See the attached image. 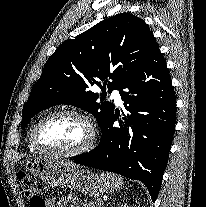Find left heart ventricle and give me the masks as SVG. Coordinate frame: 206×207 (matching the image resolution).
<instances>
[{"mask_svg": "<svg viewBox=\"0 0 206 207\" xmlns=\"http://www.w3.org/2000/svg\"><path fill=\"white\" fill-rule=\"evenodd\" d=\"M40 142L50 148L71 151L89 139L86 124L74 117H59L45 123L39 130Z\"/></svg>", "mask_w": 206, "mask_h": 207, "instance_id": "obj_1", "label": "left heart ventricle"}]
</instances>
